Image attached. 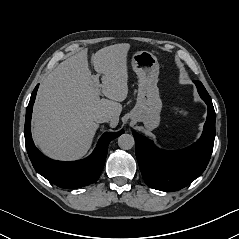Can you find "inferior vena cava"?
<instances>
[{"mask_svg":"<svg viewBox=\"0 0 239 239\" xmlns=\"http://www.w3.org/2000/svg\"><path fill=\"white\" fill-rule=\"evenodd\" d=\"M111 119V116L106 113L99 114L95 117V121L97 123H104V122H109Z\"/></svg>","mask_w":239,"mask_h":239,"instance_id":"602c4592","label":"inferior vena cava"}]
</instances>
